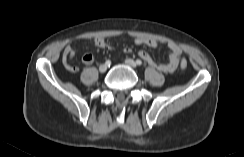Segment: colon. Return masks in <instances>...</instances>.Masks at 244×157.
Instances as JSON below:
<instances>
[{
    "label": "colon",
    "instance_id": "1",
    "mask_svg": "<svg viewBox=\"0 0 244 157\" xmlns=\"http://www.w3.org/2000/svg\"><path fill=\"white\" fill-rule=\"evenodd\" d=\"M73 56H74V54H68V55L63 56L64 65H65L66 69H68L69 71L77 70V68L70 63V60L73 58ZM180 67L182 69H185L187 67V61L185 59L181 60Z\"/></svg>",
    "mask_w": 244,
    "mask_h": 157
}]
</instances>
